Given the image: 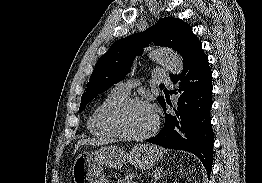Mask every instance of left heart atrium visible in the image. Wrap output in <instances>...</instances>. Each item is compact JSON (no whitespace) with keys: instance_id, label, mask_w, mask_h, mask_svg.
<instances>
[{"instance_id":"39dd6f15","label":"left heart atrium","mask_w":262,"mask_h":183,"mask_svg":"<svg viewBox=\"0 0 262 183\" xmlns=\"http://www.w3.org/2000/svg\"><path fill=\"white\" fill-rule=\"evenodd\" d=\"M150 107V109L153 111V109H152V107L151 106H149ZM154 112V111H153Z\"/></svg>"}]
</instances>
